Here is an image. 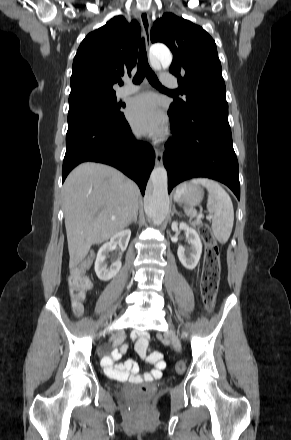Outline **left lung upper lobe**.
Returning <instances> with one entry per match:
<instances>
[{"instance_id": "1", "label": "left lung upper lobe", "mask_w": 291, "mask_h": 440, "mask_svg": "<svg viewBox=\"0 0 291 440\" xmlns=\"http://www.w3.org/2000/svg\"><path fill=\"white\" fill-rule=\"evenodd\" d=\"M151 41L166 44L173 53L170 72L186 100H175L170 112L183 117L197 108L228 110L225 83L215 41L200 26L165 13L154 22Z\"/></svg>"}]
</instances>
